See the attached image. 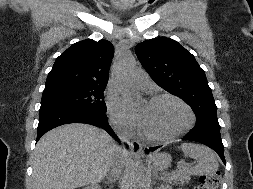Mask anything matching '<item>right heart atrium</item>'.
I'll return each mask as SVG.
<instances>
[{"label":"right heart atrium","mask_w":253,"mask_h":189,"mask_svg":"<svg viewBox=\"0 0 253 189\" xmlns=\"http://www.w3.org/2000/svg\"><path fill=\"white\" fill-rule=\"evenodd\" d=\"M107 109L111 121L119 128L126 129L129 123L125 119L126 113L117 97L111 96L107 100Z\"/></svg>","instance_id":"obj_1"}]
</instances>
